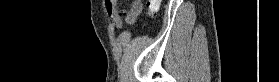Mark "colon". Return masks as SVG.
<instances>
[{
	"instance_id": "colon-1",
	"label": "colon",
	"mask_w": 279,
	"mask_h": 82,
	"mask_svg": "<svg viewBox=\"0 0 279 82\" xmlns=\"http://www.w3.org/2000/svg\"><path fill=\"white\" fill-rule=\"evenodd\" d=\"M136 1H137V6H139V8H137L136 11H139V9H141L142 2L140 0H136ZM146 3H147V8H148L149 13L152 14L158 9L161 1L160 0H147Z\"/></svg>"
}]
</instances>
